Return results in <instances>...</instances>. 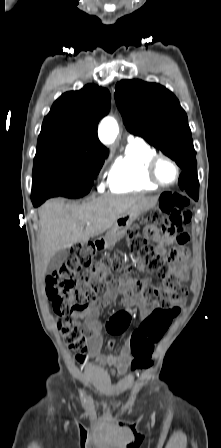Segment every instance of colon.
Segmentation results:
<instances>
[{"label":"colon","instance_id":"1","mask_svg":"<svg viewBox=\"0 0 221 448\" xmlns=\"http://www.w3.org/2000/svg\"><path fill=\"white\" fill-rule=\"evenodd\" d=\"M159 208L141 220L148 227L160 225L164 236L185 233V226L191 220L189 200L174 192L161 194ZM154 233L141 234L138 226L127 232V243L149 271L160 280V286H153L129 278L131 291L148 305L156 306L153 314L145 319L131 337L134 359L133 371H143L152 366L153 344L159 341L172 321L179 315L176 302L181 299L186 288L181 283V274L174 269L154 249ZM121 268L118 259L111 262L107 258L94 259V250L89 244H79L71 248L69 257L60 267L50 273L46 280V295L53 311L59 317H68L94 304L107 279L108 268ZM62 337L68 347L76 352L79 362L84 360L83 351L86 335L70 320L59 324Z\"/></svg>","mask_w":221,"mask_h":448}]
</instances>
